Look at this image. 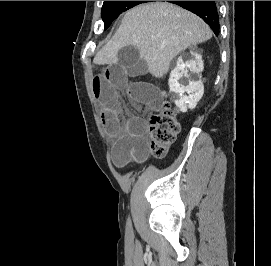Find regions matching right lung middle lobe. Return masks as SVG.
Wrapping results in <instances>:
<instances>
[{
  "label": "right lung middle lobe",
  "mask_w": 271,
  "mask_h": 266,
  "mask_svg": "<svg viewBox=\"0 0 271 266\" xmlns=\"http://www.w3.org/2000/svg\"><path fill=\"white\" fill-rule=\"evenodd\" d=\"M146 2L150 1H104L101 10L104 29H107L122 12Z\"/></svg>",
  "instance_id": "right-lung-middle-lobe-1"
}]
</instances>
